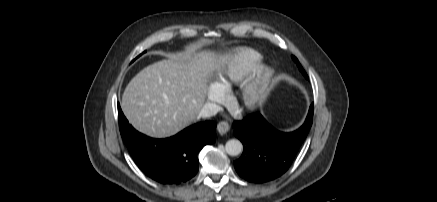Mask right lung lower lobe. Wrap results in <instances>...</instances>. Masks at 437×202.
Returning a JSON list of instances; mask_svg holds the SVG:
<instances>
[{"mask_svg": "<svg viewBox=\"0 0 437 202\" xmlns=\"http://www.w3.org/2000/svg\"><path fill=\"white\" fill-rule=\"evenodd\" d=\"M121 136L141 171L162 184H180L199 170L198 153L216 139V123L194 124L175 136L154 139L137 132L118 105Z\"/></svg>", "mask_w": 437, "mask_h": 202, "instance_id": "right-lung-lower-lobe-1", "label": "right lung lower lobe"}]
</instances>
